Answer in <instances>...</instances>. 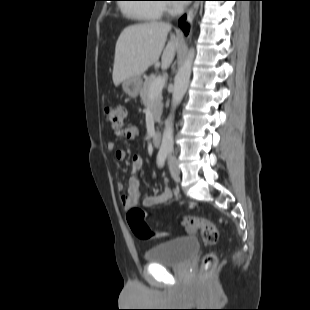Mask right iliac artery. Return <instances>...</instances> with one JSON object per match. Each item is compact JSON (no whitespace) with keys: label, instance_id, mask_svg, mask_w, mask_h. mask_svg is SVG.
<instances>
[{"label":"right iliac artery","instance_id":"obj_1","mask_svg":"<svg viewBox=\"0 0 310 310\" xmlns=\"http://www.w3.org/2000/svg\"><path fill=\"white\" fill-rule=\"evenodd\" d=\"M168 152L169 151L167 149H164V148L160 149L157 155L158 166L162 167L164 165Z\"/></svg>","mask_w":310,"mask_h":310}]
</instances>
